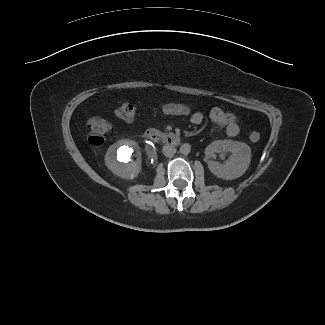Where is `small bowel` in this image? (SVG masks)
<instances>
[{"label": "small bowel", "instance_id": "c3829d8e", "mask_svg": "<svg viewBox=\"0 0 325 325\" xmlns=\"http://www.w3.org/2000/svg\"><path fill=\"white\" fill-rule=\"evenodd\" d=\"M162 105L157 106L156 109L163 112ZM169 115H173V114H169ZM209 117L211 122L214 124V126L224 129L226 136L235 137L236 135H238L239 133L238 120L233 113L225 111L218 107H214L210 110ZM190 121L194 125H200L204 121V114L201 111H198L195 117L190 118Z\"/></svg>", "mask_w": 325, "mask_h": 325}]
</instances>
